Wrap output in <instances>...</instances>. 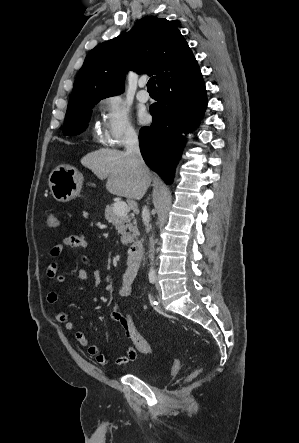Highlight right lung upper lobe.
<instances>
[{"label": "right lung upper lobe", "instance_id": "right-lung-upper-lobe-1", "mask_svg": "<svg viewBox=\"0 0 299 443\" xmlns=\"http://www.w3.org/2000/svg\"><path fill=\"white\" fill-rule=\"evenodd\" d=\"M198 67L184 37L167 19L142 18L128 33L97 45L77 74L68 108L118 95L129 70L156 74L157 84Z\"/></svg>", "mask_w": 299, "mask_h": 443}]
</instances>
